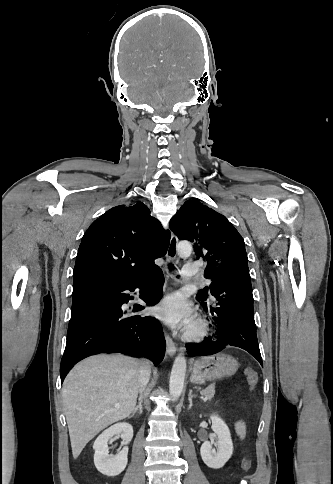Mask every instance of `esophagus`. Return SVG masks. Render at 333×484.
Returning a JSON list of instances; mask_svg holds the SVG:
<instances>
[{
  "mask_svg": "<svg viewBox=\"0 0 333 484\" xmlns=\"http://www.w3.org/2000/svg\"><path fill=\"white\" fill-rule=\"evenodd\" d=\"M176 247H177V237L173 234L171 236L169 246H168V250H167V259L169 261H173V260L177 259ZM165 340H166L167 354L170 357H173L176 353V350H177L176 344L174 343V341L172 340V338L168 334L165 335Z\"/></svg>",
  "mask_w": 333,
  "mask_h": 484,
  "instance_id": "34e87169",
  "label": "esophagus"
}]
</instances>
